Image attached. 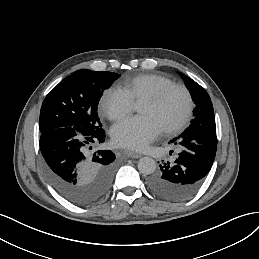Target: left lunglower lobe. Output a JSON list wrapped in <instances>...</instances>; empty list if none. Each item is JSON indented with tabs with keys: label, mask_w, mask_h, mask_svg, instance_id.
Segmentation results:
<instances>
[{
	"label": "left lung lower lobe",
	"mask_w": 259,
	"mask_h": 259,
	"mask_svg": "<svg viewBox=\"0 0 259 259\" xmlns=\"http://www.w3.org/2000/svg\"><path fill=\"white\" fill-rule=\"evenodd\" d=\"M181 152L173 163L160 165V170L148 181L157 196L182 201L194 195L210 171L217 150L216 126H189L171 140Z\"/></svg>",
	"instance_id": "1"
}]
</instances>
